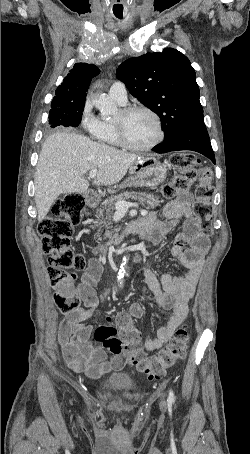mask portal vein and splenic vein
<instances>
[{
	"label": "portal vein and splenic vein",
	"instance_id": "obj_1",
	"mask_svg": "<svg viewBox=\"0 0 250 454\" xmlns=\"http://www.w3.org/2000/svg\"><path fill=\"white\" fill-rule=\"evenodd\" d=\"M97 175V170H92L89 172V178H94L95 176ZM131 206V203L130 202H127L125 200H118L116 203H115V210H116V213L120 214V215H123L125 214L129 207Z\"/></svg>",
	"mask_w": 250,
	"mask_h": 454
}]
</instances>
